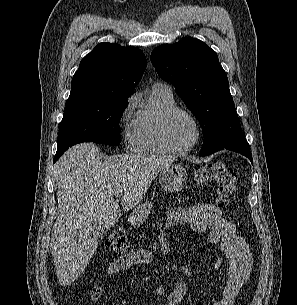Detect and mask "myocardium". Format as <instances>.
Here are the masks:
<instances>
[{"label":"myocardium","instance_id":"myocardium-1","mask_svg":"<svg viewBox=\"0 0 297 305\" xmlns=\"http://www.w3.org/2000/svg\"><path fill=\"white\" fill-rule=\"evenodd\" d=\"M176 114H184L185 116H187L192 121L195 128L194 140L185 147L174 146L168 137V123L170 119ZM157 134L159 141L167 149L168 152H171L173 154H185L190 152L198 144L201 138L202 130L198 119L192 112L185 108L175 106L167 109L161 114L158 120Z\"/></svg>","mask_w":297,"mask_h":305}]
</instances>
